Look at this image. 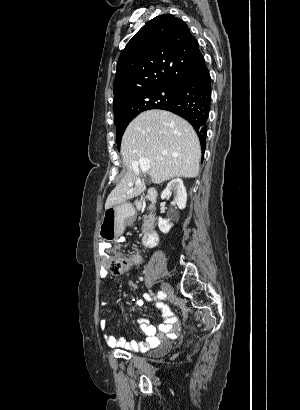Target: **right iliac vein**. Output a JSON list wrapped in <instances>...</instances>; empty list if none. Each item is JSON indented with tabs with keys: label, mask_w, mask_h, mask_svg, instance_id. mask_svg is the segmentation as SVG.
<instances>
[{
	"label": "right iliac vein",
	"mask_w": 300,
	"mask_h": 410,
	"mask_svg": "<svg viewBox=\"0 0 300 410\" xmlns=\"http://www.w3.org/2000/svg\"><path fill=\"white\" fill-rule=\"evenodd\" d=\"M161 289L167 296H171L173 294V289L168 283H162Z\"/></svg>",
	"instance_id": "obj_1"
}]
</instances>
